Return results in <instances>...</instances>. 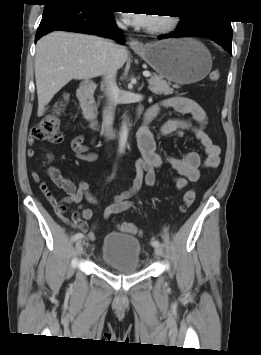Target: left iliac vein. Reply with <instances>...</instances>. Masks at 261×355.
Instances as JSON below:
<instances>
[{"label":"left iliac vein","mask_w":261,"mask_h":355,"mask_svg":"<svg viewBox=\"0 0 261 355\" xmlns=\"http://www.w3.org/2000/svg\"><path fill=\"white\" fill-rule=\"evenodd\" d=\"M155 254L156 256H162L163 255V250L160 246L155 247Z\"/></svg>","instance_id":"left-iliac-vein-1"}]
</instances>
